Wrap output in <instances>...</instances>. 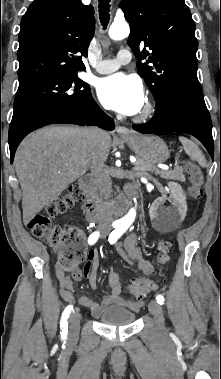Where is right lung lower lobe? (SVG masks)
Segmentation results:
<instances>
[{"label":"right lung lower lobe","mask_w":221,"mask_h":379,"mask_svg":"<svg viewBox=\"0 0 221 379\" xmlns=\"http://www.w3.org/2000/svg\"><path fill=\"white\" fill-rule=\"evenodd\" d=\"M55 123L95 125L106 130H113L115 127L113 120L100 109L91 96L87 102L79 106L45 118L27 132L19 136L16 140L9 142L11 162H13L14 154L19 143L26 135L40 127Z\"/></svg>","instance_id":"1"}]
</instances>
